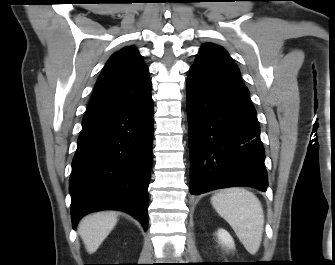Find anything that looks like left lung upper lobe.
Returning a JSON list of instances; mask_svg holds the SVG:
<instances>
[{"mask_svg":"<svg viewBox=\"0 0 335 265\" xmlns=\"http://www.w3.org/2000/svg\"><path fill=\"white\" fill-rule=\"evenodd\" d=\"M214 80L238 86L247 90L240 76V71L227 51L213 43H206L197 54L196 62L192 65ZM248 91V90H247Z\"/></svg>","mask_w":335,"mask_h":265,"instance_id":"left-lung-upper-lobe-1","label":"left lung upper lobe"}]
</instances>
